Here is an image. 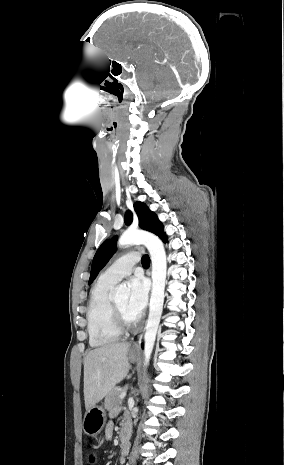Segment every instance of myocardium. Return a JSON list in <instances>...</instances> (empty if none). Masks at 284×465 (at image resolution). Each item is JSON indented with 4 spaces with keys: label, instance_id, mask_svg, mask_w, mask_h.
Here are the masks:
<instances>
[{
    "label": "myocardium",
    "instance_id": "obj_1",
    "mask_svg": "<svg viewBox=\"0 0 284 465\" xmlns=\"http://www.w3.org/2000/svg\"><path fill=\"white\" fill-rule=\"evenodd\" d=\"M111 313L113 321L110 322L112 329L118 335H126L133 331L139 323V318L134 319L131 323L123 316L115 302L111 301Z\"/></svg>",
    "mask_w": 284,
    "mask_h": 465
}]
</instances>
